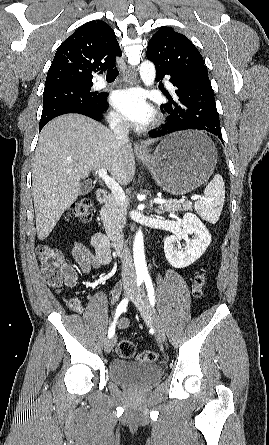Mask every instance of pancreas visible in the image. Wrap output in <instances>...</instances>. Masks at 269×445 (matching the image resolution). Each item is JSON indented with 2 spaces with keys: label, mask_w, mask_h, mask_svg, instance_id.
I'll return each mask as SVG.
<instances>
[{
  "label": "pancreas",
  "mask_w": 269,
  "mask_h": 445,
  "mask_svg": "<svg viewBox=\"0 0 269 445\" xmlns=\"http://www.w3.org/2000/svg\"><path fill=\"white\" fill-rule=\"evenodd\" d=\"M191 202L182 204L174 202H166L159 207L161 212H175L192 210ZM127 205L121 203L115 198L113 194L107 197L105 205L101 208L100 215L104 224L107 236L113 241H120L122 239V229L126 223Z\"/></svg>",
  "instance_id": "obj_1"
}]
</instances>
